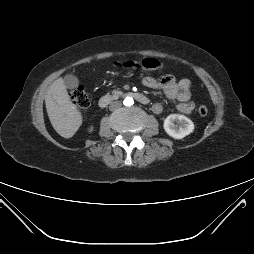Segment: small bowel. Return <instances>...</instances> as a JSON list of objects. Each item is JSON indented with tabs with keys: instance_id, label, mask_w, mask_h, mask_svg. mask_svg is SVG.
<instances>
[{
	"instance_id": "obj_1",
	"label": "small bowel",
	"mask_w": 254,
	"mask_h": 254,
	"mask_svg": "<svg viewBox=\"0 0 254 254\" xmlns=\"http://www.w3.org/2000/svg\"><path fill=\"white\" fill-rule=\"evenodd\" d=\"M142 83L148 88L162 90L169 100L177 101V110L181 113L189 114L195 108L194 102L191 101V82L187 78L177 80L170 74L159 78L145 76ZM152 110L159 114L163 111V106L160 103H155L152 105Z\"/></svg>"
}]
</instances>
